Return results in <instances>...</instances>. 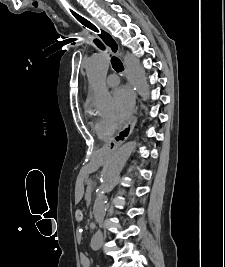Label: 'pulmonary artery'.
Masks as SVG:
<instances>
[{
  "label": "pulmonary artery",
  "instance_id": "e3ab8cb5",
  "mask_svg": "<svg viewBox=\"0 0 225 267\" xmlns=\"http://www.w3.org/2000/svg\"><path fill=\"white\" fill-rule=\"evenodd\" d=\"M106 83L109 87H115L119 83V77L115 74H110L106 79Z\"/></svg>",
  "mask_w": 225,
  "mask_h": 267
}]
</instances>
